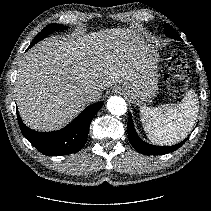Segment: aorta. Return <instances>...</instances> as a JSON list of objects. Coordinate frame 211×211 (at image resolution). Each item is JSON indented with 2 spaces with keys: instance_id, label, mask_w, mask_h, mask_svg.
Masks as SVG:
<instances>
[{
  "instance_id": "1",
  "label": "aorta",
  "mask_w": 211,
  "mask_h": 211,
  "mask_svg": "<svg viewBox=\"0 0 211 211\" xmlns=\"http://www.w3.org/2000/svg\"><path fill=\"white\" fill-rule=\"evenodd\" d=\"M107 109L111 114L123 115L127 111V104L120 96H112L107 100Z\"/></svg>"
}]
</instances>
